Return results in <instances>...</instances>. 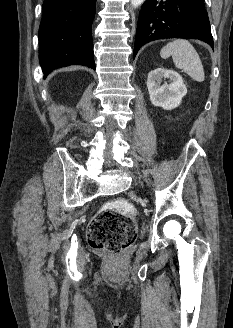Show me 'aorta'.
I'll use <instances>...</instances> for the list:
<instances>
[{"label": "aorta", "mask_w": 233, "mask_h": 328, "mask_svg": "<svg viewBox=\"0 0 233 328\" xmlns=\"http://www.w3.org/2000/svg\"><path fill=\"white\" fill-rule=\"evenodd\" d=\"M145 0H130L131 2V6L133 8H136L138 6H140Z\"/></svg>", "instance_id": "aorta-1"}]
</instances>
